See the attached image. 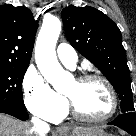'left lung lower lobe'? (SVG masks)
<instances>
[{
  "label": "left lung lower lobe",
  "mask_w": 136,
  "mask_h": 136,
  "mask_svg": "<svg viewBox=\"0 0 136 136\" xmlns=\"http://www.w3.org/2000/svg\"><path fill=\"white\" fill-rule=\"evenodd\" d=\"M108 124L115 125L129 134L131 136H136V113L127 112L119 115L114 121L109 122Z\"/></svg>",
  "instance_id": "0a47b994"
}]
</instances>
